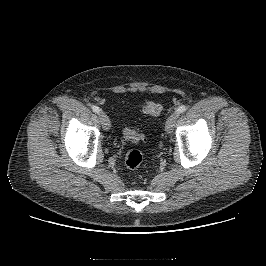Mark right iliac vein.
I'll return each instance as SVG.
<instances>
[{
    "label": "right iliac vein",
    "mask_w": 266,
    "mask_h": 266,
    "mask_svg": "<svg viewBox=\"0 0 266 266\" xmlns=\"http://www.w3.org/2000/svg\"><path fill=\"white\" fill-rule=\"evenodd\" d=\"M99 118L104 130H108L110 128V120L107 114L105 112H100Z\"/></svg>",
    "instance_id": "right-iliac-vein-1"
}]
</instances>
